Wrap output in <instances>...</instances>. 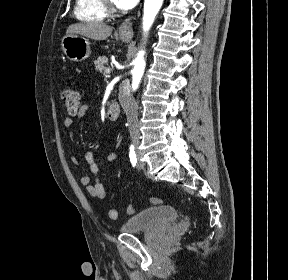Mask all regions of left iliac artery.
Masks as SVG:
<instances>
[{
    "mask_svg": "<svg viewBox=\"0 0 288 280\" xmlns=\"http://www.w3.org/2000/svg\"><path fill=\"white\" fill-rule=\"evenodd\" d=\"M135 152V147L134 145L130 146V153H129V158H130V162L133 166L136 165L137 163V158L133 156V153Z\"/></svg>",
    "mask_w": 288,
    "mask_h": 280,
    "instance_id": "1",
    "label": "left iliac artery"
}]
</instances>
